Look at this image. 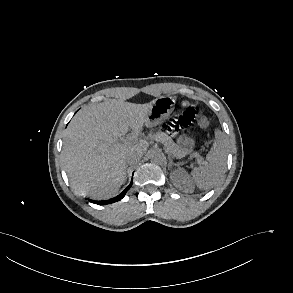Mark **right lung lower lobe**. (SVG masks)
<instances>
[{
  "mask_svg": "<svg viewBox=\"0 0 293 293\" xmlns=\"http://www.w3.org/2000/svg\"><path fill=\"white\" fill-rule=\"evenodd\" d=\"M131 185H132V181L129 184V186L121 194H119L118 196H116L112 199L104 200V201H93V200H89V201L92 203H95V204H99V205H106V204L114 203L116 201L121 200L125 196L126 192L130 189Z\"/></svg>",
  "mask_w": 293,
  "mask_h": 293,
  "instance_id": "98d812e1",
  "label": "right lung lower lobe"
}]
</instances>
